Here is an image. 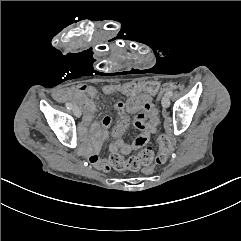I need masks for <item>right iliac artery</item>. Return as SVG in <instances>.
I'll list each match as a JSON object with an SVG mask.
<instances>
[{
    "instance_id": "82829eb1",
    "label": "right iliac artery",
    "mask_w": 241,
    "mask_h": 241,
    "mask_svg": "<svg viewBox=\"0 0 241 241\" xmlns=\"http://www.w3.org/2000/svg\"><path fill=\"white\" fill-rule=\"evenodd\" d=\"M66 107H67L68 109H72V108H73V105H72L71 103H66Z\"/></svg>"
}]
</instances>
